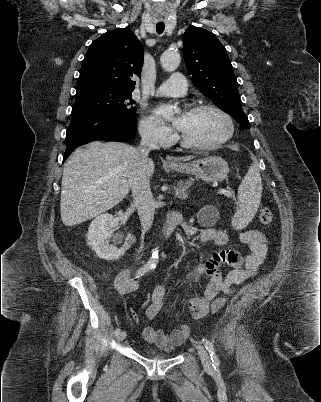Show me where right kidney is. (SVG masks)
<instances>
[{
  "instance_id": "obj_1",
  "label": "right kidney",
  "mask_w": 321,
  "mask_h": 402,
  "mask_svg": "<svg viewBox=\"0 0 321 402\" xmlns=\"http://www.w3.org/2000/svg\"><path fill=\"white\" fill-rule=\"evenodd\" d=\"M117 226L116 219L111 214L97 216L88 228L87 241L96 255L104 260H116L129 249L131 235L126 237L124 245L118 249L115 245H110L108 239L111 237L112 230Z\"/></svg>"
}]
</instances>
